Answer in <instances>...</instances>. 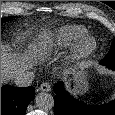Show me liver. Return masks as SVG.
<instances>
[{
	"label": "liver",
	"mask_w": 115,
	"mask_h": 115,
	"mask_svg": "<svg viewBox=\"0 0 115 115\" xmlns=\"http://www.w3.org/2000/svg\"><path fill=\"white\" fill-rule=\"evenodd\" d=\"M33 59L31 53L21 57L1 45V85L13 79L18 72L31 68Z\"/></svg>",
	"instance_id": "liver-1"
}]
</instances>
